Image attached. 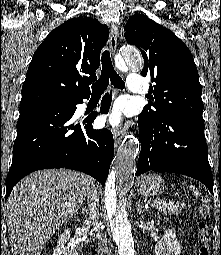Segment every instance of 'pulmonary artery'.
Masks as SVG:
<instances>
[{
  "instance_id": "1",
  "label": "pulmonary artery",
  "mask_w": 221,
  "mask_h": 255,
  "mask_svg": "<svg viewBox=\"0 0 221 255\" xmlns=\"http://www.w3.org/2000/svg\"><path fill=\"white\" fill-rule=\"evenodd\" d=\"M127 88L130 92L144 93L146 91V83L140 74H130L127 78Z\"/></svg>"
}]
</instances>
